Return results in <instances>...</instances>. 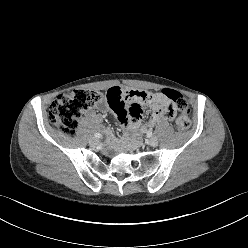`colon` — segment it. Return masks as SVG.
<instances>
[{
	"mask_svg": "<svg viewBox=\"0 0 248 248\" xmlns=\"http://www.w3.org/2000/svg\"><path fill=\"white\" fill-rule=\"evenodd\" d=\"M163 94L169 102L171 111L178 112L176 126L184 131L190 127L188 117L189 107L185 98L176 90L165 89ZM103 94L97 91L79 89L59 95L49 108L50 122L67 135H73L77 128V121L86 110L101 101Z\"/></svg>",
	"mask_w": 248,
	"mask_h": 248,
	"instance_id": "5ec220e1",
	"label": "colon"
}]
</instances>
